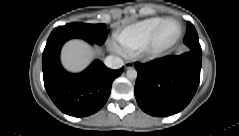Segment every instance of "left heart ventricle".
Wrapping results in <instances>:
<instances>
[{
    "instance_id": "obj_1",
    "label": "left heart ventricle",
    "mask_w": 239,
    "mask_h": 136,
    "mask_svg": "<svg viewBox=\"0 0 239 136\" xmlns=\"http://www.w3.org/2000/svg\"><path fill=\"white\" fill-rule=\"evenodd\" d=\"M178 32V25L173 22L169 23L161 30L157 38V46L167 47L171 45L176 40Z\"/></svg>"
}]
</instances>
